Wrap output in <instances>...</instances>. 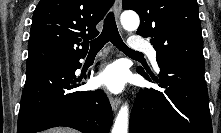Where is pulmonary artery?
Segmentation results:
<instances>
[{
  "label": "pulmonary artery",
  "mask_w": 221,
  "mask_h": 133,
  "mask_svg": "<svg viewBox=\"0 0 221 133\" xmlns=\"http://www.w3.org/2000/svg\"><path fill=\"white\" fill-rule=\"evenodd\" d=\"M129 48L137 52L139 51L146 52L153 65L156 67L157 70H159L156 61V51L148 42L136 36L129 41Z\"/></svg>",
  "instance_id": "obj_1"
}]
</instances>
